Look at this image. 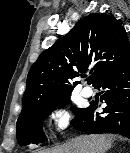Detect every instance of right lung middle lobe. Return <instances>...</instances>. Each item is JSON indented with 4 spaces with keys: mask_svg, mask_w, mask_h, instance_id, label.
<instances>
[{
    "mask_svg": "<svg viewBox=\"0 0 130 153\" xmlns=\"http://www.w3.org/2000/svg\"><path fill=\"white\" fill-rule=\"evenodd\" d=\"M67 100L68 96H65L55 101L36 106L20 115L17 121V139L19 144L24 146L30 143L38 144L44 142L46 137L42 130L43 121L56 108L65 105ZM72 110L75 112L76 117L83 111V109L76 107H73Z\"/></svg>",
    "mask_w": 130,
    "mask_h": 153,
    "instance_id": "1",
    "label": "right lung middle lobe"
}]
</instances>
